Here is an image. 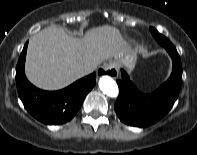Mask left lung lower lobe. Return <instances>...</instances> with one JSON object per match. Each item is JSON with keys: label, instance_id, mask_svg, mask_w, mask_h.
I'll return each mask as SVG.
<instances>
[{"label": "left lung lower lobe", "instance_id": "1", "mask_svg": "<svg viewBox=\"0 0 197 155\" xmlns=\"http://www.w3.org/2000/svg\"><path fill=\"white\" fill-rule=\"evenodd\" d=\"M173 62L170 78L151 94L141 93L124 70L118 80L119 96L115 111L119 119L131 126L147 127L164 117L178 98L182 83V66L175 47L166 48Z\"/></svg>", "mask_w": 197, "mask_h": 155}]
</instances>
